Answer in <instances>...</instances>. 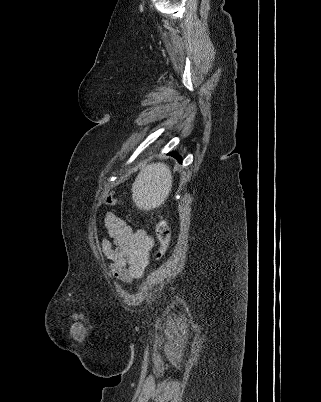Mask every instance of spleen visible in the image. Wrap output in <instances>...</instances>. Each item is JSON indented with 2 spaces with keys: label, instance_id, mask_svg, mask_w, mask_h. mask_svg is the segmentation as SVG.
I'll list each match as a JSON object with an SVG mask.
<instances>
[{
  "label": "spleen",
  "instance_id": "obj_1",
  "mask_svg": "<svg viewBox=\"0 0 321 402\" xmlns=\"http://www.w3.org/2000/svg\"><path fill=\"white\" fill-rule=\"evenodd\" d=\"M172 188V174L164 163L145 166L132 185V199L143 210H150L163 204Z\"/></svg>",
  "mask_w": 321,
  "mask_h": 402
}]
</instances>
